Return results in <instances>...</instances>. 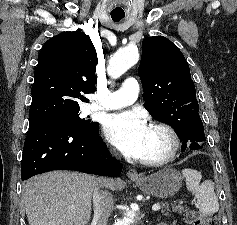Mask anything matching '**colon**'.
<instances>
[{
  "label": "colon",
  "instance_id": "5ec220e1",
  "mask_svg": "<svg viewBox=\"0 0 237 225\" xmlns=\"http://www.w3.org/2000/svg\"><path fill=\"white\" fill-rule=\"evenodd\" d=\"M184 219L188 225H219L213 215L201 214L195 210L186 211Z\"/></svg>",
  "mask_w": 237,
  "mask_h": 225
}]
</instances>
